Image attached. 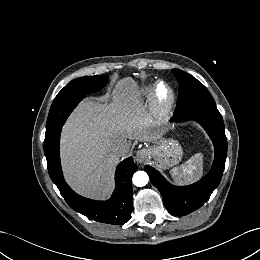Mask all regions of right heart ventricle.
I'll return each mask as SVG.
<instances>
[{
    "mask_svg": "<svg viewBox=\"0 0 260 260\" xmlns=\"http://www.w3.org/2000/svg\"><path fill=\"white\" fill-rule=\"evenodd\" d=\"M152 87V83H147L143 85L138 91L134 92V94L131 96L130 103H138L140 100L148 98L151 93Z\"/></svg>",
    "mask_w": 260,
    "mask_h": 260,
    "instance_id": "1",
    "label": "right heart ventricle"
}]
</instances>
